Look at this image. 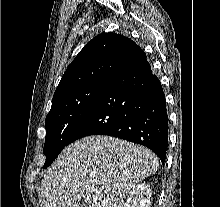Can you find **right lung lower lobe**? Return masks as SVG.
<instances>
[{"label": "right lung lower lobe", "mask_w": 220, "mask_h": 207, "mask_svg": "<svg viewBox=\"0 0 220 207\" xmlns=\"http://www.w3.org/2000/svg\"><path fill=\"white\" fill-rule=\"evenodd\" d=\"M109 135L144 145L163 163L168 145V116L161 83L146 57L107 80L91 111L69 144L89 135Z\"/></svg>", "instance_id": "1"}]
</instances>
